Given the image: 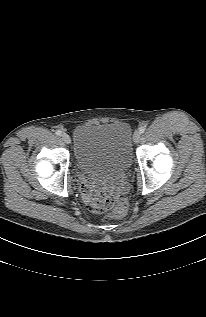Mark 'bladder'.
Wrapping results in <instances>:
<instances>
[{
  "instance_id": "bladder-1",
  "label": "bladder",
  "mask_w": 206,
  "mask_h": 317,
  "mask_svg": "<svg viewBox=\"0 0 206 317\" xmlns=\"http://www.w3.org/2000/svg\"><path fill=\"white\" fill-rule=\"evenodd\" d=\"M133 132L124 122L82 124L74 131V160L91 178L126 172L133 159Z\"/></svg>"
}]
</instances>
